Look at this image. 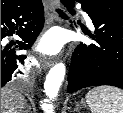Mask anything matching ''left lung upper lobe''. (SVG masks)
Here are the masks:
<instances>
[{
	"label": "left lung upper lobe",
	"mask_w": 123,
	"mask_h": 113,
	"mask_svg": "<svg viewBox=\"0 0 123 113\" xmlns=\"http://www.w3.org/2000/svg\"><path fill=\"white\" fill-rule=\"evenodd\" d=\"M98 1L108 6L109 8H114L120 12H123V0H98Z\"/></svg>",
	"instance_id": "obj_1"
}]
</instances>
